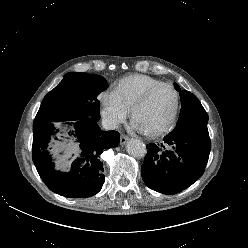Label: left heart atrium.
<instances>
[{
  "label": "left heart atrium",
  "instance_id": "obj_1",
  "mask_svg": "<svg viewBox=\"0 0 248 248\" xmlns=\"http://www.w3.org/2000/svg\"><path fill=\"white\" fill-rule=\"evenodd\" d=\"M132 129L137 132H144L137 124L132 123Z\"/></svg>",
  "mask_w": 248,
  "mask_h": 248
}]
</instances>
